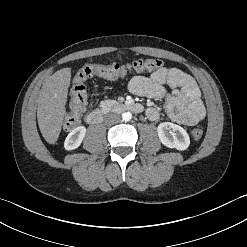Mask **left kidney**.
<instances>
[{"label": "left kidney", "mask_w": 247, "mask_h": 247, "mask_svg": "<svg viewBox=\"0 0 247 247\" xmlns=\"http://www.w3.org/2000/svg\"><path fill=\"white\" fill-rule=\"evenodd\" d=\"M161 143L168 148L184 151L189 147L190 139L186 130L171 122H164L157 127Z\"/></svg>", "instance_id": "5707ae66"}]
</instances>
